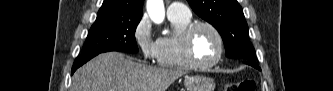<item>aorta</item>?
<instances>
[{
	"instance_id": "1",
	"label": "aorta",
	"mask_w": 333,
	"mask_h": 91,
	"mask_svg": "<svg viewBox=\"0 0 333 91\" xmlns=\"http://www.w3.org/2000/svg\"><path fill=\"white\" fill-rule=\"evenodd\" d=\"M147 10L155 23H161L164 19V6L162 0H148Z\"/></svg>"
}]
</instances>
